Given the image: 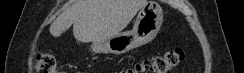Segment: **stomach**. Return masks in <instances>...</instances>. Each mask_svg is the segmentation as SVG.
<instances>
[{
  "mask_svg": "<svg viewBox=\"0 0 244 73\" xmlns=\"http://www.w3.org/2000/svg\"><path fill=\"white\" fill-rule=\"evenodd\" d=\"M162 22L161 6L156 1H149L140 9L131 31L121 32L108 39L93 42L91 48L95 53L121 55L151 42L156 37Z\"/></svg>",
  "mask_w": 244,
  "mask_h": 73,
  "instance_id": "obj_1",
  "label": "stomach"
}]
</instances>
